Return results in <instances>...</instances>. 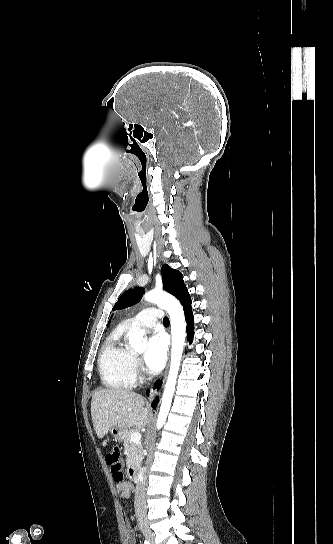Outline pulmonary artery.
Wrapping results in <instances>:
<instances>
[{"label": "pulmonary artery", "instance_id": "e3ab8cb5", "mask_svg": "<svg viewBox=\"0 0 333 544\" xmlns=\"http://www.w3.org/2000/svg\"><path fill=\"white\" fill-rule=\"evenodd\" d=\"M163 318V311L150 307L140 311L136 316L127 319L126 325H137L143 328H153L158 319Z\"/></svg>", "mask_w": 333, "mask_h": 544}]
</instances>
